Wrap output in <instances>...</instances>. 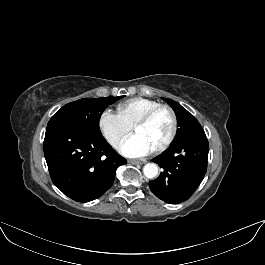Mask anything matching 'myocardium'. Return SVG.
<instances>
[{"mask_svg": "<svg viewBox=\"0 0 265 265\" xmlns=\"http://www.w3.org/2000/svg\"><path fill=\"white\" fill-rule=\"evenodd\" d=\"M161 111H166L170 114L172 120V126H171V131L168 137L166 138V140L160 146L152 150L154 154H158L165 151L172 144V142L174 141L177 135L178 118L175 111L167 105H159L155 108L150 109L145 114H143L133 125V130L135 131L137 127L148 123L157 113Z\"/></svg>", "mask_w": 265, "mask_h": 265, "instance_id": "obj_1", "label": "myocardium"}]
</instances>
